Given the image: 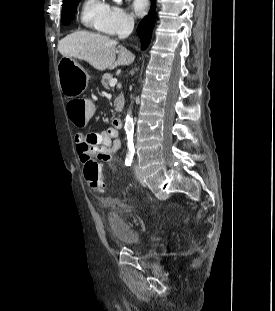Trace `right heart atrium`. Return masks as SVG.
I'll list each match as a JSON object with an SVG mask.
<instances>
[{
    "instance_id": "right-heart-atrium-1",
    "label": "right heart atrium",
    "mask_w": 275,
    "mask_h": 311,
    "mask_svg": "<svg viewBox=\"0 0 275 311\" xmlns=\"http://www.w3.org/2000/svg\"><path fill=\"white\" fill-rule=\"evenodd\" d=\"M134 26L133 17L124 8L108 6L106 14L100 23V29L108 35H116L130 31Z\"/></svg>"
}]
</instances>
